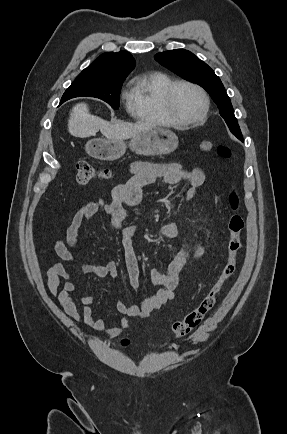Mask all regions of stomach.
Segmentation results:
<instances>
[{
  "mask_svg": "<svg viewBox=\"0 0 287 434\" xmlns=\"http://www.w3.org/2000/svg\"><path fill=\"white\" fill-rule=\"evenodd\" d=\"M178 137L174 132L160 127H152L132 137L130 149L144 156L165 155L178 147ZM124 140L93 139L86 144L88 154L96 159L113 161L126 152Z\"/></svg>",
  "mask_w": 287,
  "mask_h": 434,
  "instance_id": "obj_1",
  "label": "stomach"
}]
</instances>
